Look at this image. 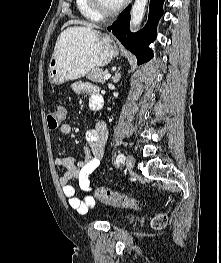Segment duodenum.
<instances>
[{
  "mask_svg": "<svg viewBox=\"0 0 221 263\" xmlns=\"http://www.w3.org/2000/svg\"><path fill=\"white\" fill-rule=\"evenodd\" d=\"M102 108V101H99L94 107L93 109L95 111H99Z\"/></svg>",
  "mask_w": 221,
  "mask_h": 263,
  "instance_id": "obj_1",
  "label": "duodenum"
}]
</instances>
